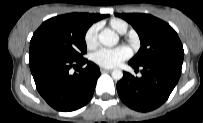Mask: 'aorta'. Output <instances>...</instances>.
<instances>
[{
  "label": "aorta",
  "instance_id": "aorta-1",
  "mask_svg": "<svg viewBox=\"0 0 203 123\" xmlns=\"http://www.w3.org/2000/svg\"><path fill=\"white\" fill-rule=\"evenodd\" d=\"M98 39L100 43L107 47L115 46L119 41V36L110 29H104L98 35ZM123 77V72L119 69H115L112 71V78L114 80H120Z\"/></svg>",
  "mask_w": 203,
  "mask_h": 123
}]
</instances>
